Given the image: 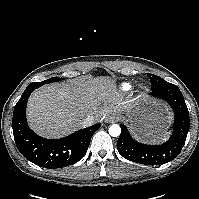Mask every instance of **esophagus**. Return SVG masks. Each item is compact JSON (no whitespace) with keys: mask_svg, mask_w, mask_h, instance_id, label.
Listing matches in <instances>:
<instances>
[{"mask_svg":"<svg viewBox=\"0 0 199 199\" xmlns=\"http://www.w3.org/2000/svg\"><path fill=\"white\" fill-rule=\"evenodd\" d=\"M117 121V118L114 114H110L106 119L105 122L106 123H114Z\"/></svg>","mask_w":199,"mask_h":199,"instance_id":"obj_1","label":"esophagus"}]
</instances>
